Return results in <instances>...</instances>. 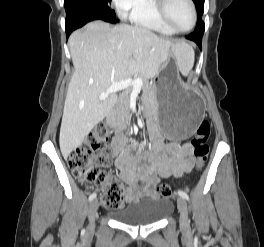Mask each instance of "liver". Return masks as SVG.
<instances>
[{
	"instance_id": "obj_1",
	"label": "liver",
	"mask_w": 264,
	"mask_h": 247,
	"mask_svg": "<svg viewBox=\"0 0 264 247\" xmlns=\"http://www.w3.org/2000/svg\"><path fill=\"white\" fill-rule=\"evenodd\" d=\"M74 66L64 103L59 144L64 158L82 144L117 101L99 98L116 82L134 75L156 77L176 45L149 29L93 21L69 38Z\"/></svg>"
}]
</instances>
